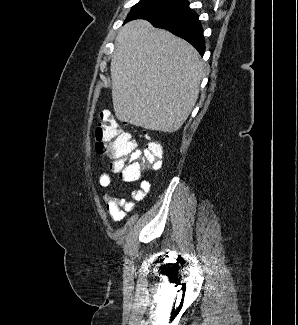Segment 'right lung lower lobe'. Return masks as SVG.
<instances>
[{
	"label": "right lung lower lobe",
	"instance_id": "98d812e1",
	"mask_svg": "<svg viewBox=\"0 0 298 325\" xmlns=\"http://www.w3.org/2000/svg\"><path fill=\"white\" fill-rule=\"evenodd\" d=\"M157 28L166 29L173 34L185 39L192 44L198 52H205V40L202 34V26L198 15L188 6L173 13L146 19ZM129 20H126L127 22Z\"/></svg>",
	"mask_w": 298,
	"mask_h": 325
}]
</instances>
